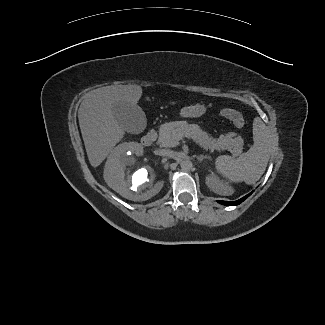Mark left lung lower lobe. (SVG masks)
Masks as SVG:
<instances>
[{
    "label": "left lung lower lobe",
    "instance_id": "1",
    "mask_svg": "<svg viewBox=\"0 0 325 325\" xmlns=\"http://www.w3.org/2000/svg\"><path fill=\"white\" fill-rule=\"evenodd\" d=\"M251 193H252V192H251ZM251 193H249L248 195L242 197L241 199H239V200H237V201L229 202V201H220V200H218L217 202H219V203H221V204H223V205H227V206L238 205V204H240L241 202H243V201H244L248 196H250Z\"/></svg>",
    "mask_w": 325,
    "mask_h": 325
}]
</instances>
